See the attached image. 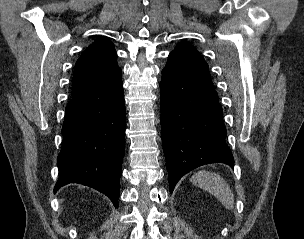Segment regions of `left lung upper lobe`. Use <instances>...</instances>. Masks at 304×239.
<instances>
[{"instance_id": "obj_1", "label": "left lung upper lobe", "mask_w": 304, "mask_h": 239, "mask_svg": "<svg viewBox=\"0 0 304 239\" xmlns=\"http://www.w3.org/2000/svg\"><path fill=\"white\" fill-rule=\"evenodd\" d=\"M170 54L179 57L189 67L209 76L208 65L199 52L189 43H179Z\"/></svg>"}]
</instances>
